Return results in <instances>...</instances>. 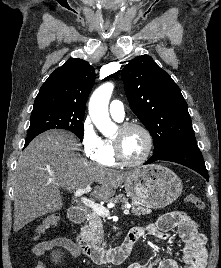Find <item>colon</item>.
I'll use <instances>...</instances> for the list:
<instances>
[{
	"label": "colon",
	"instance_id": "5ec220e1",
	"mask_svg": "<svg viewBox=\"0 0 221 268\" xmlns=\"http://www.w3.org/2000/svg\"><path fill=\"white\" fill-rule=\"evenodd\" d=\"M185 201L187 203H190L194 205L195 207L199 209L204 208V202L196 195H188L185 198ZM60 218L57 214H51L46 216L41 224L37 227L35 231L34 238L38 237L41 233H43L45 230L53 229L59 225Z\"/></svg>",
	"mask_w": 221,
	"mask_h": 268
}]
</instances>
